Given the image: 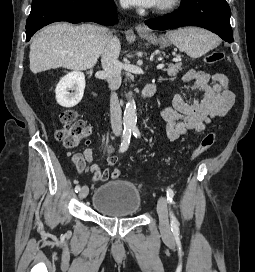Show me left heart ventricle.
I'll return each instance as SVG.
<instances>
[{
	"mask_svg": "<svg viewBox=\"0 0 255 272\" xmlns=\"http://www.w3.org/2000/svg\"><path fill=\"white\" fill-rule=\"evenodd\" d=\"M161 1H163V0H159L158 3H157V5H158Z\"/></svg>",
	"mask_w": 255,
	"mask_h": 272,
	"instance_id": "obj_1",
	"label": "left heart ventricle"
}]
</instances>
